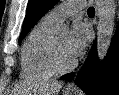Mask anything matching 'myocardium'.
I'll use <instances>...</instances> for the list:
<instances>
[{"label": "myocardium", "instance_id": "1", "mask_svg": "<svg viewBox=\"0 0 119 95\" xmlns=\"http://www.w3.org/2000/svg\"><path fill=\"white\" fill-rule=\"evenodd\" d=\"M48 60L52 70L56 73H65L75 68L77 62L73 60L69 64H62L57 55L55 37L52 36L48 50Z\"/></svg>", "mask_w": 119, "mask_h": 95}]
</instances>
